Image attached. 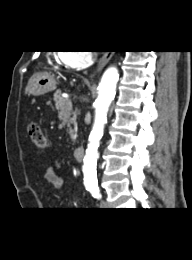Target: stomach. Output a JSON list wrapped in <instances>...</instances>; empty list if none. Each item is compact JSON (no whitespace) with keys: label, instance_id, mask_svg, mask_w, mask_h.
I'll return each mask as SVG.
<instances>
[{"label":"stomach","instance_id":"0dacf381","mask_svg":"<svg viewBox=\"0 0 192 260\" xmlns=\"http://www.w3.org/2000/svg\"><path fill=\"white\" fill-rule=\"evenodd\" d=\"M56 80L48 73L36 74L31 77L28 83V92L34 96L44 95L55 90Z\"/></svg>","mask_w":192,"mask_h":260}]
</instances>
